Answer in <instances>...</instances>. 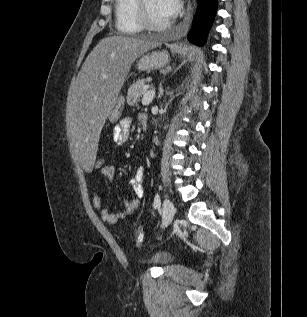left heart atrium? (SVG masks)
<instances>
[{"mask_svg":"<svg viewBox=\"0 0 307 317\" xmlns=\"http://www.w3.org/2000/svg\"><path fill=\"white\" fill-rule=\"evenodd\" d=\"M163 13L171 17L176 14L181 6L180 0H158Z\"/></svg>","mask_w":307,"mask_h":317,"instance_id":"1","label":"left heart atrium"}]
</instances>
